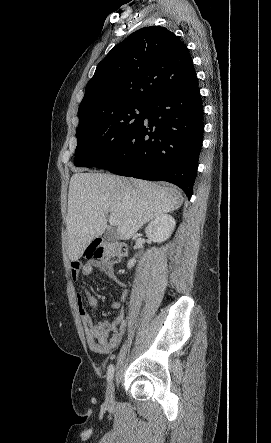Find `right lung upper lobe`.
Here are the masks:
<instances>
[{
    "instance_id": "obj_1",
    "label": "right lung upper lobe",
    "mask_w": 271,
    "mask_h": 443,
    "mask_svg": "<svg viewBox=\"0 0 271 443\" xmlns=\"http://www.w3.org/2000/svg\"><path fill=\"white\" fill-rule=\"evenodd\" d=\"M196 80L186 45L164 27H145L117 44L98 64L78 116L97 117L129 102L149 104L157 95Z\"/></svg>"
}]
</instances>
